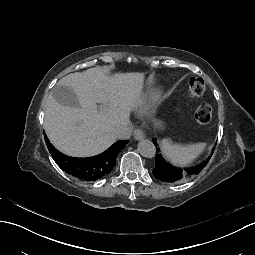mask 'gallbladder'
I'll list each match as a JSON object with an SVG mask.
<instances>
[{
    "label": "gallbladder",
    "mask_w": 255,
    "mask_h": 255,
    "mask_svg": "<svg viewBox=\"0 0 255 255\" xmlns=\"http://www.w3.org/2000/svg\"><path fill=\"white\" fill-rule=\"evenodd\" d=\"M51 95L60 105L81 108L78 97L70 86L56 85L52 89Z\"/></svg>",
    "instance_id": "1"
}]
</instances>
